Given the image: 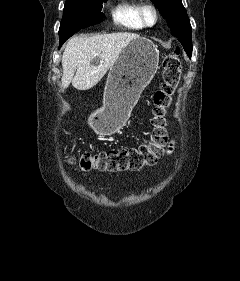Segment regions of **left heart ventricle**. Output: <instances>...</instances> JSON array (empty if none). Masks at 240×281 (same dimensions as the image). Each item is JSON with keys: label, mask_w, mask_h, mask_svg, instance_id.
I'll list each match as a JSON object with an SVG mask.
<instances>
[{"label": "left heart ventricle", "mask_w": 240, "mask_h": 281, "mask_svg": "<svg viewBox=\"0 0 240 281\" xmlns=\"http://www.w3.org/2000/svg\"><path fill=\"white\" fill-rule=\"evenodd\" d=\"M147 17H148L149 21H152V20H153V16H152L151 13H148V14H147Z\"/></svg>", "instance_id": "obj_1"}]
</instances>
